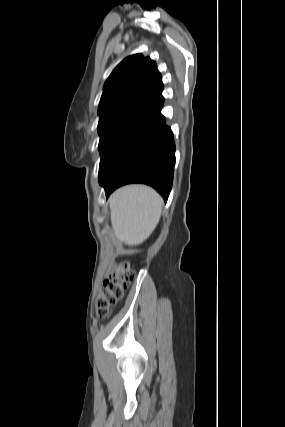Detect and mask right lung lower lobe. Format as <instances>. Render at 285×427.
Here are the masks:
<instances>
[{"label": "right lung lower lobe", "instance_id": "right-lung-lower-lobe-1", "mask_svg": "<svg viewBox=\"0 0 285 427\" xmlns=\"http://www.w3.org/2000/svg\"><path fill=\"white\" fill-rule=\"evenodd\" d=\"M164 99L150 108L117 151L108 168L99 175L106 198L119 186L145 183L167 201L173 181L175 144L161 115Z\"/></svg>", "mask_w": 285, "mask_h": 427}]
</instances>
